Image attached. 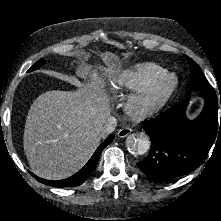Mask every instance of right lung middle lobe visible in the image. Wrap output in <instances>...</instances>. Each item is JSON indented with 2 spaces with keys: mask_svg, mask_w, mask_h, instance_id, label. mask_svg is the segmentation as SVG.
<instances>
[{
  "mask_svg": "<svg viewBox=\"0 0 221 221\" xmlns=\"http://www.w3.org/2000/svg\"><path fill=\"white\" fill-rule=\"evenodd\" d=\"M46 61L44 59H40L37 63H35L29 70L28 72H31L33 70L38 69L41 65L45 64Z\"/></svg>",
  "mask_w": 221,
  "mask_h": 221,
  "instance_id": "1",
  "label": "right lung middle lobe"
}]
</instances>
